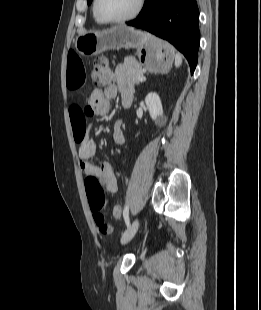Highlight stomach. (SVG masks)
Listing matches in <instances>:
<instances>
[{"mask_svg": "<svg viewBox=\"0 0 261 310\" xmlns=\"http://www.w3.org/2000/svg\"><path fill=\"white\" fill-rule=\"evenodd\" d=\"M75 48L85 56L98 55L110 49L135 48L139 64L153 73H167L175 57L174 49L168 43L124 25L79 35Z\"/></svg>", "mask_w": 261, "mask_h": 310, "instance_id": "obj_1", "label": "stomach"}]
</instances>
